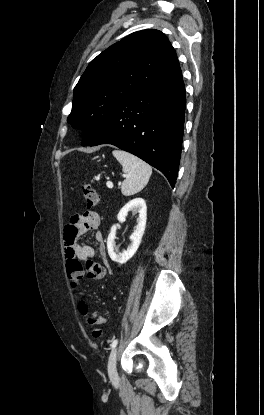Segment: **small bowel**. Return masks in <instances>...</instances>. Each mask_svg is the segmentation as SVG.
Segmentation results:
<instances>
[{"mask_svg": "<svg viewBox=\"0 0 264 415\" xmlns=\"http://www.w3.org/2000/svg\"><path fill=\"white\" fill-rule=\"evenodd\" d=\"M99 215L96 212H90L86 216H72L70 225L65 231V259L70 262L78 260L81 262L88 261L95 257V249L89 244L78 243L79 237L85 235L88 231L94 230L95 240L98 244V253L101 258H106V247L102 233L98 230ZM72 278V276H70Z\"/></svg>", "mask_w": 264, "mask_h": 415, "instance_id": "small-bowel-1", "label": "small bowel"}]
</instances>
